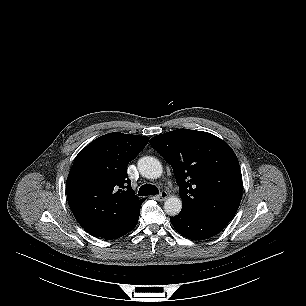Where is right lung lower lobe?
<instances>
[{"instance_id": "right-lung-lower-lobe-1", "label": "right lung lower lobe", "mask_w": 306, "mask_h": 306, "mask_svg": "<svg viewBox=\"0 0 306 306\" xmlns=\"http://www.w3.org/2000/svg\"><path fill=\"white\" fill-rule=\"evenodd\" d=\"M139 214H140V210L137 212V214L135 215L130 225L117 238H120L121 236L127 234L129 231H131L136 226L138 222Z\"/></svg>"}]
</instances>
